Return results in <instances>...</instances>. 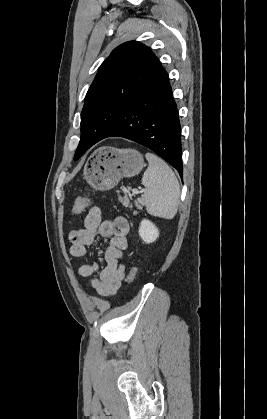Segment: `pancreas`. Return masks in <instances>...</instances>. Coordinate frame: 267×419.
<instances>
[{
  "mask_svg": "<svg viewBox=\"0 0 267 419\" xmlns=\"http://www.w3.org/2000/svg\"><path fill=\"white\" fill-rule=\"evenodd\" d=\"M120 201L124 206H126V207L129 206V198L127 196H125L123 198H120ZM142 203H143V201L141 199H138V200L135 201L134 204H135V207L138 210H142V206H141Z\"/></svg>",
  "mask_w": 267,
  "mask_h": 419,
  "instance_id": "cf45deb5",
  "label": "pancreas"
}]
</instances>
